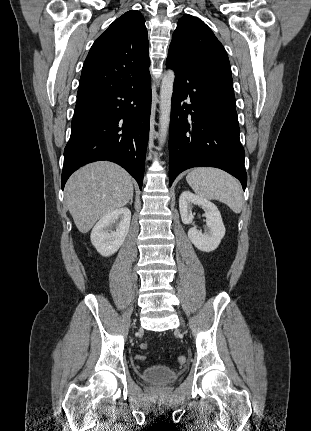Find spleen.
<instances>
[{"label":"spleen","instance_id":"spleen-1","mask_svg":"<svg viewBox=\"0 0 311 431\" xmlns=\"http://www.w3.org/2000/svg\"><path fill=\"white\" fill-rule=\"evenodd\" d=\"M186 182L200 198L219 200L235 214H240L243 206L241 186L227 172L217 168H194L187 174Z\"/></svg>","mask_w":311,"mask_h":431}]
</instances>
